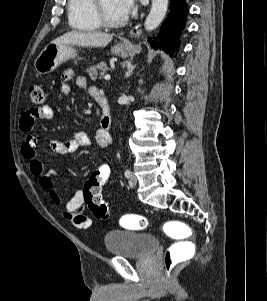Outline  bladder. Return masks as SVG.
I'll use <instances>...</instances> for the list:
<instances>
[{
	"instance_id": "31cf9c89",
	"label": "bladder",
	"mask_w": 267,
	"mask_h": 301,
	"mask_svg": "<svg viewBox=\"0 0 267 301\" xmlns=\"http://www.w3.org/2000/svg\"><path fill=\"white\" fill-rule=\"evenodd\" d=\"M156 235L130 230H111L104 236L106 251L125 258H146L159 247Z\"/></svg>"
}]
</instances>
